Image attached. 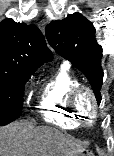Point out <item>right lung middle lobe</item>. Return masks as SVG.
Listing matches in <instances>:
<instances>
[{
  "label": "right lung middle lobe",
  "instance_id": "dd1d6c3e",
  "mask_svg": "<svg viewBox=\"0 0 114 156\" xmlns=\"http://www.w3.org/2000/svg\"><path fill=\"white\" fill-rule=\"evenodd\" d=\"M32 74L0 71V125L14 121L22 113L25 81Z\"/></svg>",
  "mask_w": 114,
  "mask_h": 156
}]
</instances>
